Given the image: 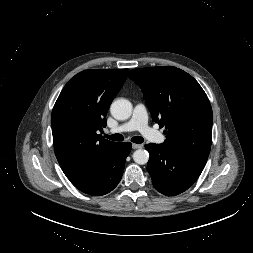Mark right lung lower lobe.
Returning <instances> with one entry per match:
<instances>
[{
	"mask_svg": "<svg viewBox=\"0 0 253 253\" xmlns=\"http://www.w3.org/2000/svg\"><path fill=\"white\" fill-rule=\"evenodd\" d=\"M131 143H115L104 154L90 177L75 187L92 196L112 191L120 182Z\"/></svg>",
	"mask_w": 253,
	"mask_h": 253,
	"instance_id": "1",
	"label": "right lung lower lobe"
}]
</instances>
